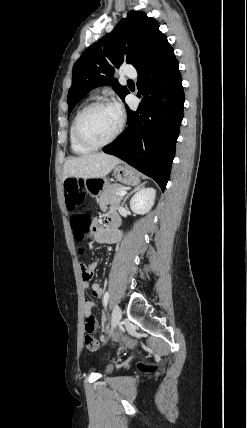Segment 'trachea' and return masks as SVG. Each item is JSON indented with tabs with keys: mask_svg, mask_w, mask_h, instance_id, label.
Here are the masks:
<instances>
[{
	"mask_svg": "<svg viewBox=\"0 0 247 428\" xmlns=\"http://www.w3.org/2000/svg\"><path fill=\"white\" fill-rule=\"evenodd\" d=\"M128 82H132V80H128Z\"/></svg>",
	"mask_w": 247,
	"mask_h": 428,
	"instance_id": "obj_1",
	"label": "trachea"
}]
</instances>
